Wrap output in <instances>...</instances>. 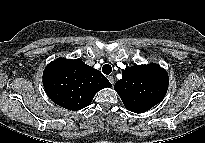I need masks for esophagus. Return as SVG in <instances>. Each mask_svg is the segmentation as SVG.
I'll return each mask as SVG.
<instances>
[{
    "mask_svg": "<svg viewBox=\"0 0 205 143\" xmlns=\"http://www.w3.org/2000/svg\"><path fill=\"white\" fill-rule=\"evenodd\" d=\"M108 80L110 81V83L113 85L115 80L113 76H108Z\"/></svg>",
    "mask_w": 205,
    "mask_h": 143,
    "instance_id": "esophagus-1",
    "label": "esophagus"
}]
</instances>
